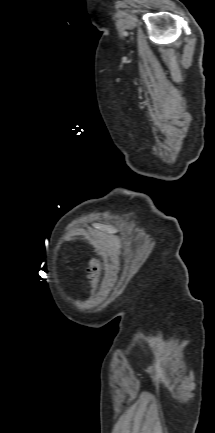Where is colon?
Wrapping results in <instances>:
<instances>
[{
    "mask_svg": "<svg viewBox=\"0 0 215 433\" xmlns=\"http://www.w3.org/2000/svg\"><path fill=\"white\" fill-rule=\"evenodd\" d=\"M88 279L90 283V293H93L97 286L98 281V273H99V264L97 260L92 259L88 266Z\"/></svg>",
    "mask_w": 215,
    "mask_h": 433,
    "instance_id": "1",
    "label": "colon"
}]
</instances>
